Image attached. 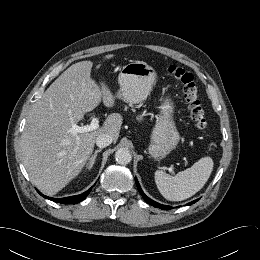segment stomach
Masks as SVG:
<instances>
[{
	"mask_svg": "<svg viewBox=\"0 0 260 260\" xmlns=\"http://www.w3.org/2000/svg\"><path fill=\"white\" fill-rule=\"evenodd\" d=\"M156 79L153 67L141 61L131 62L119 73L117 97L130 104L140 103L150 94ZM173 116L174 103L168 98L160 106L148 147L149 154L155 159L165 158L179 143L180 135Z\"/></svg>",
	"mask_w": 260,
	"mask_h": 260,
	"instance_id": "0dacf381",
	"label": "stomach"
}]
</instances>
